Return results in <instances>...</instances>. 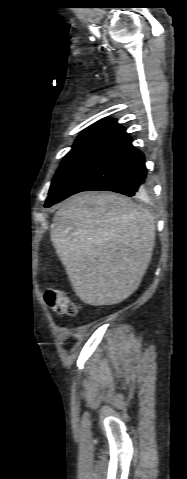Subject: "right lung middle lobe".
<instances>
[{"mask_svg": "<svg viewBox=\"0 0 187 479\" xmlns=\"http://www.w3.org/2000/svg\"><path fill=\"white\" fill-rule=\"evenodd\" d=\"M127 136L125 132L102 127H89L83 130L51 183L45 207L54 202L77 176Z\"/></svg>", "mask_w": 187, "mask_h": 479, "instance_id": "dd1d6c3e", "label": "right lung middle lobe"}]
</instances>
